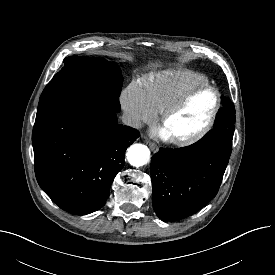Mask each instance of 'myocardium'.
<instances>
[{
	"instance_id": "myocardium-1",
	"label": "myocardium",
	"mask_w": 275,
	"mask_h": 275,
	"mask_svg": "<svg viewBox=\"0 0 275 275\" xmlns=\"http://www.w3.org/2000/svg\"><path fill=\"white\" fill-rule=\"evenodd\" d=\"M205 90H211L216 95V103L212 113L210 114L207 122L196 132L183 137H170V141L175 145L187 146L193 144L203 138L212 129L221 108V94L219 90L212 85H200L187 91L161 112L160 124L164 126L168 119L180 111L194 95Z\"/></svg>"
}]
</instances>
